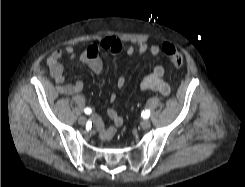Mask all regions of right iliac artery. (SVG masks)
<instances>
[{"instance_id":"obj_1","label":"right iliac artery","mask_w":245,"mask_h":187,"mask_svg":"<svg viewBox=\"0 0 245 187\" xmlns=\"http://www.w3.org/2000/svg\"><path fill=\"white\" fill-rule=\"evenodd\" d=\"M85 114H90L92 110L90 108H85L84 109Z\"/></svg>"}]
</instances>
